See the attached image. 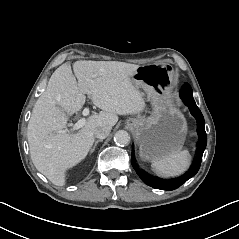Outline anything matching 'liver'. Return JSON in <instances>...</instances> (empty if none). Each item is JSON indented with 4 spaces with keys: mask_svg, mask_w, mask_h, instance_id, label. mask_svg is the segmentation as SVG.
<instances>
[{
    "mask_svg": "<svg viewBox=\"0 0 239 239\" xmlns=\"http://www.w3.org/2000/svg\"><path fill=\"white\" fill-rule=\"evenodd\" d=\"M138 68L139 65L125 62L82 60L73 64L78 82L70 63L62 64L52 74L34 105L27 138L34 166L54 185L63 186L65 170L87 156L94 143L95 128H112L118 115L144 110V94L131 80ZM85 94L102 111L89 116L77 133L63 130L68 120L66 113L78 112L85 103ZM153 94L150 89L149 95Z\"/></svg>",
    "mask_w": 239,
    "mask_h": 239,
    "instance_id": "1",
    "label": "liver"
}]
</instances>
